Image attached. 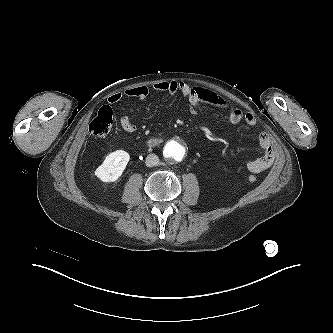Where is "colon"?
<instances>
[{
    "label": "colon",
    "instance_id": "1",
    "mask_svg": "<svg viewBox=\"0 0 333 333\" xmlns=\"http://www.w3.org/2000/svg\"><path fill=\"white\" fill-rule=\"evenodd\" d=\"M112 124V109L109 106H103L98 111L96 117L91 121L89 131L94 136H104L110 132ZM248 180L249 182L254 183L257 181V177L254 174H250Z\"/></svg>",
    "mask_w": 333,
    "mask_h": 333
}]
</instances>
